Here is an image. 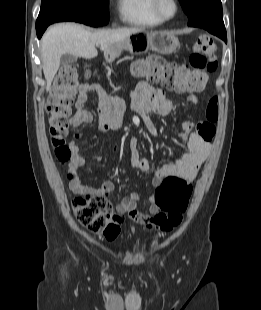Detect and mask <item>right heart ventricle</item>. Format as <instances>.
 Segmentation results:
<instances>
[{"instance_id": "obj_1", "label": "right heart ventricle", "mask_w": 261, "mask_h": 310, "mask_svg": "<svg viewBox=\"0 0 261 310\" xmlns=\"http://www.w3.org/2000/svg\"><path fill=\"white\" fill-rule=\"evenodd\" d=\"M119 18L125 24L150 28L162 24L152 9V0H118Z\"/></svg>"}]
</instances>
